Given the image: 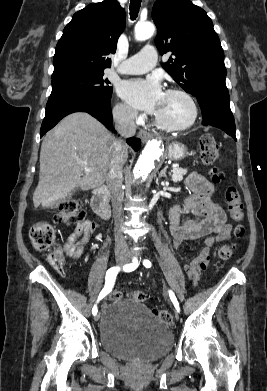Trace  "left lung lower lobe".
Returning <instances> with one entry per match:
<instances>
[{"mask_svg": "<svg viewBox=\"0 0 267 391\" xmlns=\"http://www.w3.org/2000/svg\"><path fill=\"white\" fill-rule=\"evenodd\" d=\"M200 104L204 126L222 129L236 140L235 122L230 110L229 94L208 92L197 97Z\"/></svg>", "mask_w": 267, "mask_h": 391, "instance_id": "left-lung-lower-lobe-1", "label": "left lung lower lobe"}]
</instances>
